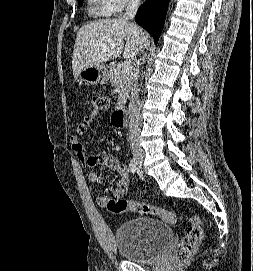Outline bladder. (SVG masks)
I'll use <instances>...</instances> for the list:
<instances>
[{"label":"bladder","instance_id":"1","mask_svg":"<svg viewBox=\"0 0 253 271\" xmlns=\"http://www.w3.org/2000/svg\"><path fill=\"white\" fill-rule=\"evenodd\" d=\"M172 237V230L167 223L143 217L122 223L115 232L119 255L138 263L152 262L160 257Z\"/></svg>","mask_w":253,"mask_h":271}]
</instances>
